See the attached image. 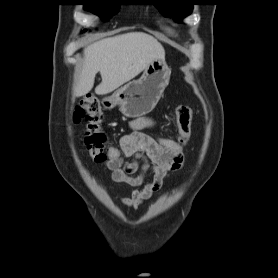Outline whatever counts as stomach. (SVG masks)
<instances>
[{
	"instance_id": "0dacf381",
	"label": "stomach",
	"mask_w": 278,
	"mask_h": 278,
	"mask_svg": "<svg viewBox=\"0 0 278 278\" xmlns=\"http://www.w3.org/2000/svg\"><path fill=\"white\" fill-rule=\"evenodd\" d=\"M171 70L164 59H156L138 80L131 81L103 100L106 108L120 106L123 115L136 118L151 112L169 84Z\"/></svg>"
}]
</instances>
